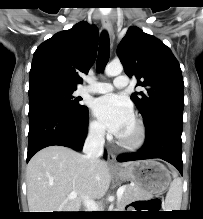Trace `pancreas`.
Masks as SVG:
<instances>
[{"mask_svg": "<svg viewBox=\"0 0 203 219\" xmlns=\"http://www.w3.org/2000/svg\"><path fill=\"white\" fill-rule=\"evenodd\" d=\"M124 187H125V191L121 198V206L127 205L134 200L148 197L143 190H141L136 186L125 185Z\"/></svg>", "mask_w": 203, "mask_h": 219, "instance_id": "1", "label": "pancreas"}]
</instances>
